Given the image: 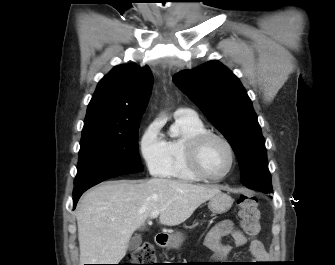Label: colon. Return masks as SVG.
Here are the masks:
<instances>
[{
	"label": "colon",
	"instance_id": "colon-1",
	"mask_svg": "<svg viewBox=\"0 0 335 265\" xmlns=\"http://www.w3.org/2000/svg\"><path fill=\"white\" fill-rule=\"evenodd\" d=\"M239 217L242 227L249 235H254L260 230V211L256 198L245 193L239 197ZM130 264L125 265H154L155 250L149 243L138 247L131 255Z\"/></svg>",
	"mask_w": 335,
	"mask_h": 265
}]
</instances>
